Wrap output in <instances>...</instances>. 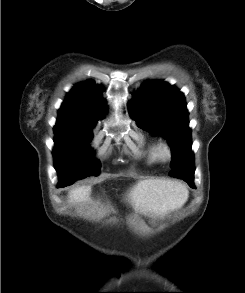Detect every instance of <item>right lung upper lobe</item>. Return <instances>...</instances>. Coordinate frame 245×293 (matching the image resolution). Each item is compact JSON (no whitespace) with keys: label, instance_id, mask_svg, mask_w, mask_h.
<instances>
[{"label":"right lung upper lobe","instance_id":"1","mask_svg":"<svg viewBox=\"0 0 245 293\" xmlns=\"http://www.w3.org/2000/svg\"><path fill=\"white\" fill-rule=\"evenodd\" d=\"M102 89L93 81L76 85L58 111V125L93 128L99 118L105 117L106 100Z\"/></svg>","mask_w":245,"mask_h":293}]
</instances>
